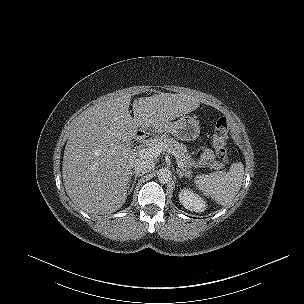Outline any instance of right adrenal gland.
<instances>
[{
    "label": "right adrenal gland",
    "instance_id": "2a0ac1e0",
    "mask_svg": "<svg viewBox=\"0 0 304 304\" xmlns=\"http://www.w3.org/2000/svg\"><path fill=\"white\" fill-rule=\"evenodd\" d=\"M132 176H134V181H133V184H132V187H130V183H131V179H132ZM142 176L141 174H138L136 172H131L130 173V176H129V179H128V186H127V189H128V193L130 194L133 189H134V186H135V183H136V180L138 177Z\"/></svg>",
    "mask_w": 304,
    "mask_h": 304
}]
</instances>
